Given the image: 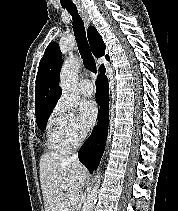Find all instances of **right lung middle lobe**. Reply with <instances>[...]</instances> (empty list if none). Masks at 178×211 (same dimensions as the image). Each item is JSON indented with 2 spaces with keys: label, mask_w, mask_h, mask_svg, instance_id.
Masks as SVG:
<instances>
[{
  "label": "right lung middle lobe",
  "mask_w": 178,
  "mask_h": 211,
  "mask_svg": "<svg viewBox=\"0 0 178 211\" xmlns=\"http://www.w3.org/2000/svg\"><path fill=\"white\" fill-rule=\"evenodd\" d=\"M53 107L54 106L48 107V108L40 111L38 114H35L36 115V122H37L38 128L40 130H42V131L44 130L46 123H47V120L49 118V114L52 111Z\"/></svg>",
  "instance_id": "dd1d6c3e"
}]
</instances>
